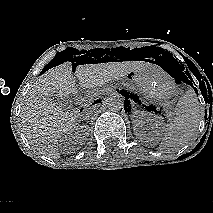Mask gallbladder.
<instances>
[{
  "label": "gallbladder",
  "mask_w": 213,
  "mask_h": 213,
  "mask_svg": "<svg viewBox=\"0 0 213 213\" xmlns=\"http://www.w3.org/2000/svg\"><path fill=\"white\" fill-rule=\"evenodd\" d=\"M53 101H55L58 105L63 106L65 108L68 107V100L67 99H60L59 97H52Z\"/></svg>",
  "instance_id": "gallbladder-1"
}]
</instances>
